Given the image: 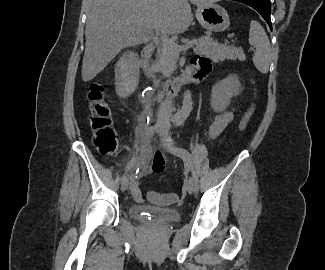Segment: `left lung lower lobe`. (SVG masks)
Returning a JSON list of instances; mask_svg holds the SVG:
<instances>
[{
    "mask_svg": "<svg viewBox=\"0 0 325 270\" xmlns=\"http://www.w3.org/2000/svg\"><path fill=\"white\" fill-rule=\"evenodd\" d=\"M237 2H241L247 4L254 8L256 11L260 13V15L265 19L268 23L270 29L272 30V23L270 18L271 13V2L270 0H234Z\"/></svg>",
    "mask_w": 325,
    "mask_h": 270,
    "instance_id": "obj_1",
    "label": "left lung lower lobe"
}]
</instances>
